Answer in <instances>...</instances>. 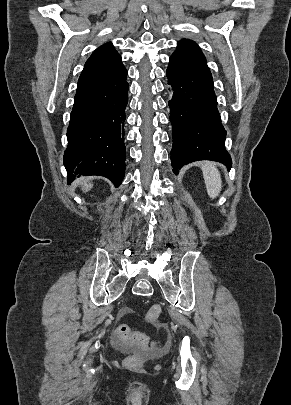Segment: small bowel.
Here are the masks:
<instances>
[{
	"mask_svg": "<svg viewBox=\"0 0 291 405\" xmlns=\"http://www.w3.org/2000/svg\"><path fill=\"white\" fill-rule=\"evenodd\" d=\"M129 314H130V310L128 308L122 309V311L120 313L121 317L127 316Z\"/></svg>",
	"mask_w": 291,
	"mask_h": 405,
	"instance_id": "small-bowel-1",
	"label": "small bowel"
}]
</instances>
